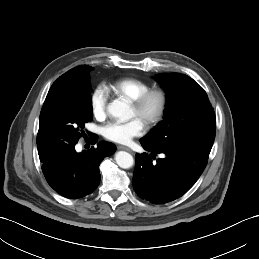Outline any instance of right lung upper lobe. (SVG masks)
<instances>
[{
	"instance_id": "right-lung-upper-lobe-1",
	"label": "right lung upper lobe",
	"mask_w": 259,
	"mask_h": 259,
	"mask_svg": "<svg viewBox=\"0 0 259 259\" xmlns=\"http://www.w3.org/2000/svg\"><path fill=\"white\" fill-rule=\"evenodd\" d=\"M91 68L81 65L57 78L50 87L41 112L64 101H80L88 97L90 91L85 77Z\"/></svg>"
}]
</instances>
